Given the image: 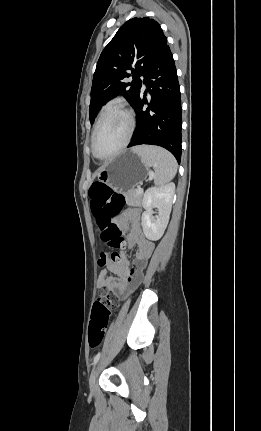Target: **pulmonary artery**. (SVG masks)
I'll return each instance as SVG.
<instances>
[{"mask_svg": "<svg viewBox=\"0 0 261 431\" xmlns=\"http://www.w3.org/2000/svg\"><path fill=\"white\" fill-rule=\"evenodd\" d=\"M146 88V86H145V84H143V89H145Z\"/></svg>", "mask_w": 261, "mask_h": 431, "instance_id": "1", "label": "pulmonary artery"}]
</instances>
